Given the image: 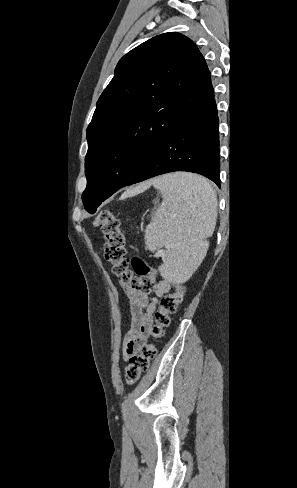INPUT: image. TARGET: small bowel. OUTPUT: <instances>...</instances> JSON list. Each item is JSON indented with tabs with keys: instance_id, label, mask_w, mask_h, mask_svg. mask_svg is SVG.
Instances as JSON below:
<instances>
[{
	"instance_id": "small-bowel-1",
	"label": "small bowel",
	"mask_w": 297,
	"mask_h": 488,
	"mask_svg": "<svg viewBox=\"0 0 297 488\" xmlns=\"http://www.w3.org/2000/svg\"><path fill=\"white\" fill-rule=\"evenodd\" d=\"M123 289L129 300L131 317L130 330L124 342V352L127 358H130L147 341L157 304L160 298L171 290V283L167 279L159 281L153 296L139 293L124 283Z\"/></svg>"
}]
</instances>
